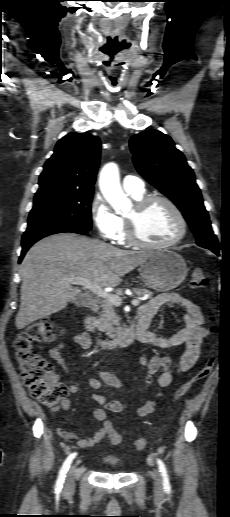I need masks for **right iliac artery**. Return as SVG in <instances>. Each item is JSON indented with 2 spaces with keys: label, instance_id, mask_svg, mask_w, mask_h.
I'll use <instances>...</instances> for the list:
<instances>
[{
  "label": "right iliac artery",
  "instance_id": "82829eb1",
  "mask_svg": "<svg viewBox=\"0 0 230 517\" xmlns=\"http://www.w3.org/2000/svg\"><path fill=\"white\" fill-rule=\"evenodd\" d=\"M76 457V453H72L70 454L66 460L64 461L61 469H60V472H59V475H58V479H57V483H56V491H60L62 489V486H63V483H64V480H65V477H66V473L73 461V459Z\"/></svg>",
  "mask_w": 230,
  "mask_h": 517
}]
</instances>
